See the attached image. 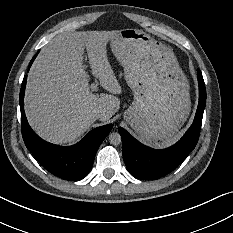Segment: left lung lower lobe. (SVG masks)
I'll return each mask as SVG.
<instances>
[{
	"label": "left lung lower lobe",
	"instance_id": "left-lung-lower-lobe-1",
	"mask_svg": "<svg viewBox=\"0 0 233 233\" xmlns=\"http://www.w3.org/2000/svg\"><path fill=\"white\" fill-rule=\"evenodd\" d=\"M199 103L191 127L185 135L173 146L155 150L149 148L125 129L118 128L123 144V158L132 176L142 180H153L173 171L195 148L202 124V117L206 105V88L201 71L198 69Z\"/></svg>",
	"mask_w": 233,
	"mask_h": 233
}]
</instances>
